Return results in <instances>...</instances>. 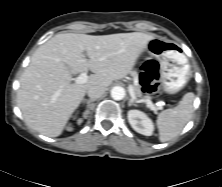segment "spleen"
<instances>
[{"instance_id": "obj_1", "label": "spleen", "mask_w": 222, "mask_h": 187, "mask_svg": "<svg viewBox=\"0 0 222 187\" xmlns=\"http://www.w3.org/2000/svg\"><path fill=\"white\" fill-rule=\"evenodd\" d=\"M194 99V93H186L176 107L166 109L158 115L156 124L161 142L170 141L180 134L191 118Z\"/></svg>"}]
</instances>
